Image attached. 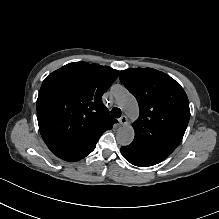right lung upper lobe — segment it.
<instances>
[{
    "label": "right lung upper lobe",
    "instance_id": "obj_1",
    "mask_svg": "<svg viewBox=\"0 0 219 219\" xmlns=\"http://www.w3.org/2000/svg\"><path fill=\"white\" fill-rule=\"evenodd\" d=\"M117 76L118 71L108 66L74 62L43 81L37 99L38 125L57 157L92 152L100 136L117 122L102 102Z\"/></svg>",
    "mask_w": 219,
    "mask_h": 219
}]
</instances>
